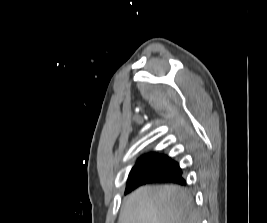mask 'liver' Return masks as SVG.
<instances>
[{
	"mask_svg": "<svg viewBox=\"0 0 267 223\" xmlns=\"http://www.w3.org/2000/svg\"><path fill=\"white\" fill-rule=\"evenodd\" d=\"M118 223H199L192 198L175 185L141 187L127 196Z\"/></svg>",
	"mask_w": 267,
	"mask_h": 223,
	"instance_id": "obj_1",
	"label": "liver"
}]
</instances>
